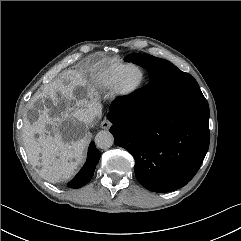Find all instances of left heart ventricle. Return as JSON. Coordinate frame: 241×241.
I'll return each instance as SVG.
<instances>
[{
  "mask_svg": "<svg viewBox=\"0 0 241 241\" xmlns=\"http://www.w3.org/2000/svg\"><path fill=\"white\" fill-rule=\"evenodd\" d=\"M140 76V71L137 68H131L126 72L123 80L126 84H134L140 79Z\"/></svg>",
  "mask_w": 241,
  "mask_h": 241,
  "instance_id": "1",
  "label": "left heart ventricle"
}]
</instances>
